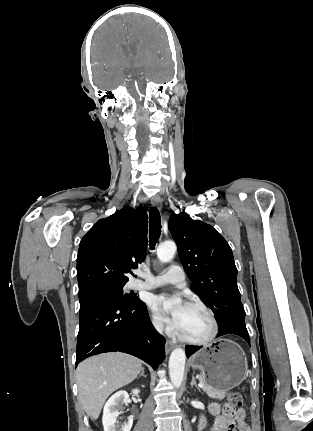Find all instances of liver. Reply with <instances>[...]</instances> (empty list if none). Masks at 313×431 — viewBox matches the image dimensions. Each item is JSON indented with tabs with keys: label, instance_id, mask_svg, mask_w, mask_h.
Segmentation results:
<instances>
[{
	"label": "liver",
	"instance_id": "1",
	"mask_svg": "<svg viewBox=\"0 0 313 431\" xmlns=\"http://www.w3.org/2000/svg\"><path fill=\"white\" fill-rule=\"evenodd\" d=\"M142 370L138 358L123 353H106L90 357L76 369L80 402L96 420L111 393L131 383Z\"/></svg>",
	"mask_w": 313,
	"mask_h": 431
}]
</instances>
